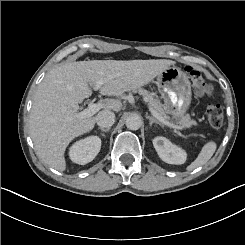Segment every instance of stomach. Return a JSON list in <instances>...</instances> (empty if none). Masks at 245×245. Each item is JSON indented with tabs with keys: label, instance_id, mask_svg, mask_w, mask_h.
<instances>
[{
	"label": "stomach",
	"instance_id": "1",
	"mask_svg": "<svg viewBox=\"0 0 245 245\" xmlns=\"http://www.w3.org/2000/svg\"><path fill=\"white\" fill-rule=\"evenodd\" d=\"M156 85L166 105L184 114L191 99V87L187 75L176 66L169 65L157 75Z\"/></svg>",
	"mask_w": 245,
	"mask_h": 245
}]
</instances>
